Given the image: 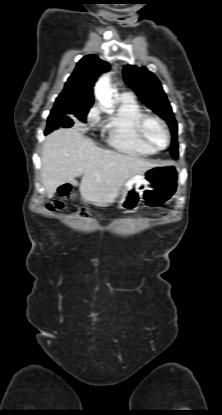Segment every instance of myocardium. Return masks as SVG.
Segmentation results:
<instances>
[{"instance_id":"f54148a6","label":"myocardium","mask_w":222,"mask_h":415,"mask_svg":"<svg viewBox=\"0 0 222 415\" xmlns=\"http://www.w3.org/2000/svg\"><path fill=\"white\" fill-rule=\"evenodd\" d=\"M149 121H156L163 127V130H164L165 135H166V144L164 146H159V145L155 144L148 137L146 128H147V124H148ZM137 130H138V134H139L140 138L142 139V141L145 144L149 145L150 147L154 148L155 150H163V149L167 148L169 146L170 142H171V132H170V129L168 127V124L159 115L144 113L138 121Z\"/></svg>"}]
</instances>
